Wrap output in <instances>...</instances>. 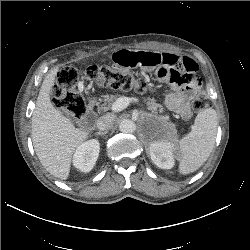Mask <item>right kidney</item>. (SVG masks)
Returning <instances> with one entry per match:
<instances>
[{"mask_svg":"<svg viewBox=\"0 0 250 250\" xmlns=\"http://www.w3.org/2000/svg\"><path fill=\"white\" fill-rule=\"evenodd\" d=\"M100 151L97 139L83 142L77 147L73 155V165L82 172H89L94 167Z\"/></svg>","mask_w":250,"mask_h":250,"instance_id":"obj_1","label":"right kidney"}]
</instances>
